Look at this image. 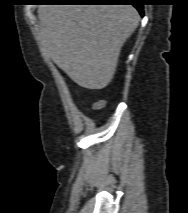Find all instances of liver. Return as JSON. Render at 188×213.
Here are the masks:
<instances>
[{"instance_id":"1","label":"liver","mask_w":188,"mask_h":213,"mask_svg":"<svg viewBox=\"0 0 188 213\" xmlns=\"http://www.w3.org/2000/svg\"><path fill=\"white\" fill-rule=\"evenodd\" d=\"M38 18L47 54L91 90L111 82L121 48L140 21L132 5H40Z\"/></svg>"}]
</instances>
